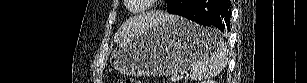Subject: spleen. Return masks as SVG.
I'll return each instance as SVG.
<instances>
[{"label":"spleen","mask_w":307,"mask_h":83,"mask_svg":"<svg viewBox=\"0 0 307 83\" xmlns=\"http://www.w3.org/2000/svg\"><path fill=\"white\" fill-rule=\"evenodd\" d=\"M213 42V52L194 63L190 77L192 80H207L218 75L228 62V48L220 32L216 29L207 30Z\"/></svg>","instance_id":"1"}]
</instances>
